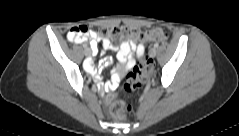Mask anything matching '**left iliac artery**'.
Listing matches in <instances>:
<instances>
[{"instance_id": "left-iliac-artery-1", "label": "left iliac artery", "mask_w": 239, "mask_h": 136, "mask_svg": "<svg viewBox=\"0 0 239 136\" xmlns=\"http://www.w3.org/2000/svg\"><path fill=\"white\" fill-rule=\"evenodd\" d=\"M158 46H159L158 43H155V44H154V47H155V48H158Z\"/></svg>"}]
</instances>
